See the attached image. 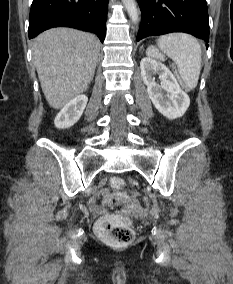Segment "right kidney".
I'll list each match as a JSON object with an SVG mask.
<instances>
[{
  "label": "right kidney",
  "instance_id": "right-kidney-1",
  "mask_svg": "<svg viewBox=\"0 0 233 284\" xmlns=\"http://www.w3.org/2000/svg\"><path fill=\"white\" fill-rule=\"evenodd\" d=\"M88 98L86 95H78L67 103L58 113L54 124L59 129L73 126L83 114Z\"/></svg>",
  "mask_w": 233,
  "mask_h": 284
}]
</instances>
